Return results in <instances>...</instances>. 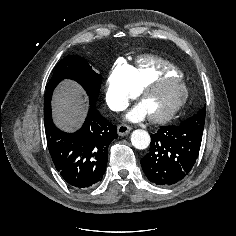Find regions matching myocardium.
Masks as SVG:
<instances>
[{"mask_svg": "<svg viewBox=\"0 0 236 236\" xmlns=\"http://www.w3.org/2000/svg\"><path fill=\"white\" fill-rule=\"evenodd\" d=\"M165 83H171V84H174L175 86H177L179 89V94L167 111H165L164 113H161V114L148 116L149 119L154 123H164V122L171 120L179 112V110L183 107V105L187 101V98L189 95L187 86L181 77L162 76V77L156 78V79L144 84L137 91L138 98L142 101L143 97L148 92L154 90L158 86L165 84Z\"/></svg>", "mask_w": 236, "mask_h": 236, "instance_id": "1", "label": "myocardium"}]
</instances>
